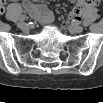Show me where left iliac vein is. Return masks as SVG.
Returning a JSON list of instances; mask_svg holds the SVG:
<instances>
[{
    "label": "left iliac vein",
    "mask_w": 103,
    "mask_h": 103,
    "mask_svg": "<svg viewBox=\"0 0 103 103\" xmlns=\"http://www.w3.org/2000/svg\"><path fill=\"white\" fill-rule=\"evenodd\" d=\"M69 30L73 33H81L83 31V27L80 25H71Z\"/></svg>",
    "instance_id": "left-iliac-vein-1"
}]
</instances>
